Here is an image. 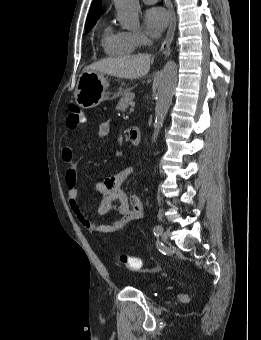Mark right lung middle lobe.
<instances>
[{
    "label": "right lung middle lobe",
    "mask_w": 261,
    "mask_h": 340,
    "mask_svg": "<svg viewBox=\"0 0 261 340\" xmlns=\"http://www.w3.org/2000/svg\"><path fill=\"white\" fill-rule=\"evenodd\" d=\"M96 21L86 23V27H85V32L86 33L90 31V29L95 25Z\"/></svg>",
    "instance_id": "1"
}]
</instances>
